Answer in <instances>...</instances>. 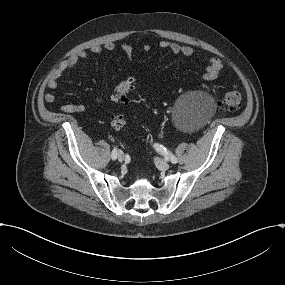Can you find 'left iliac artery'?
<instances>
[{"label":"left iliac artery","instance_id":"44dca946","mask_svg":"<svg viewBox=\"0 0 285 285\" xmlns=\"http://www.w3.org/2000/svg\"><path fill=\"white\" fill-rule=\"evenodd\" d=\"M155 149L160 152L162 155H164L165 157L169 158L170 161L173 163V164H176L178 162L177 158L171 154L164 146L162 145H159V144H155Z\"/></svg>","mask_w":285,"mask_h":285}]
</instances>
